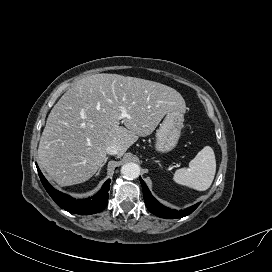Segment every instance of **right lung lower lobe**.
Wrapping results in <instances>:
<instances>
[{"mask_svg": "<svg viewBox=\"0 0 272 272\" xmlns=\"http://www.w3.org/2000/svg\"><path fill=\"white\" fill-rule=\"evenodd\" d=\"M38 174L41 182L58 206L68 212L80 215H89L98 213L104 210L108 203V191L110 188L111 180L108 179L102 186L101 190L94 196L87 199H74L69 195L63 194L54 189L49 182L45 179L40 169L37 166Z\"/></svg>", "mask_w": 272, "mask_h": 272, "instance_id": "98d812e1", "label": "right lung lower lobe"}]
</instances>
